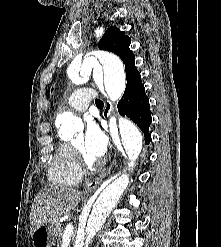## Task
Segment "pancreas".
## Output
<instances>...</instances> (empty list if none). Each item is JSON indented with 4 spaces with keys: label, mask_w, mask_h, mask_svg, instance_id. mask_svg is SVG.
<instances>
[{
    "label": "pancreas",
    "mask_w": 221,
    "mask_h": 247,
    "mask_svg": "<svg viewBox=\"0 0 221 247\" xmlns=\"http://www.w3.org/2000/svg\"><path fill=\"white\" fill-rule=\"evenodd\" d=\"M52 224H53L52 231H53L54 238H56L57 242H60L64 228L61 224H58L55 222Z\"/></svg>",
    "instance_id": "1"
}]
</instances>
